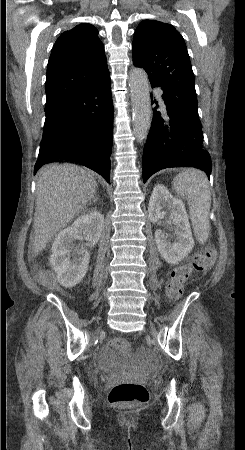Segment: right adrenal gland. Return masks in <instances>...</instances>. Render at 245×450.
Here are the masks:
<instances>
[{
	"label": "right adrenal gland",
	"instance_id": "1",
	"mask_svg": "<svg viewBox=\"0 0 245 450\" xmlns=\"http://www.w3.org/2000/svg\"><path fill=\"white\" fill-rule=\"evenodd\" d=\"M98 199H99V198H95V199H94V202H96Z\"/></svg>",
	"mask_w": 245,
	"mask_h": 450
}]
</instances>
